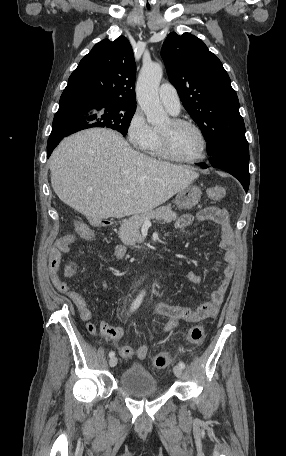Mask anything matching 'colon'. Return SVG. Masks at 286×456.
<instances>
[{
  "label": "colon",
  "mask_w": 286,
  "mask_h": 456,
  "mask_svg": "<svg viewBox=\"0 0 286 456\" xmlns=\"http://www.w3.org/2000/svg\"><path fill=\"white\" fill-rule=\"evenodd\" d=\"M225 195H226V189L221 186L212 187L208 190V196L210 199H220V198L224 197ZM77 230L83 236H87V235L91 234L90 228L82 222H79L77 224ZM59 273H60V270H59ZM72 274H73V270L71 267H67L64 270V275L71 276ZM204 335H205V330H204L203 326H200V325L193 326L189 330L188 341L191 344H199L203 340ZM147 353H148V348L144 345L138 347L136 350V356L140 359L145 358L147 356ZM153 364L157 369H164L170 364V357L166 353H159L153 358Z\"/></svg>",
  "instance_id": "colon-1"
}]
</instances>
